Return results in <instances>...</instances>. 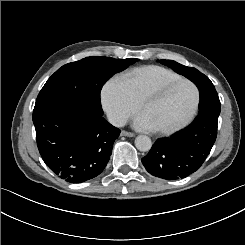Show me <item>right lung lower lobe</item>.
<instances>
[{
    "instance_id": "1",
    "label": "right lung lower lobe",
    "mask_w": 245,
    "mask_h": 245,
    "mask_svg": "<svg viewBox=\"0 0 245 245\" xmlns=\"http://www.w3.org/2000/svg\"><path fill=\"white\" fill-rule=\"evenodd\" d=\"M37 146L45 164L60 178L81 183L98 176L120 130L79 104L53 102L33 110Z\"/></svg>"
}]
</instances>
